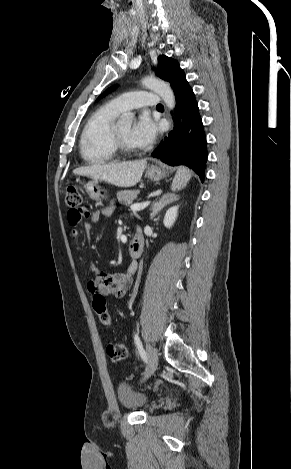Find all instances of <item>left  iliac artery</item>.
Instances as JSON below:
<instances>
[{"mask_svg": "<svg viewBox=\"0 0 291 469\" xmlns=\"http://www.w3.org/2000/svg\"><path fill=\"white\" fill-rule=\"evenodd\" d=\"M134 340H135V344L138 348V351H139V354H140L141 358L143 359V361L146 362L147 361V354H146V352L143 348L142 342H141V340H140V338L138 337L137 334H135Z\"/></svg>", "mask_w": 291, "mask_h": 469, "instance_id": "44dca946", "label": "left iliac artery"}]
</instances>
